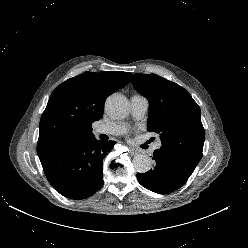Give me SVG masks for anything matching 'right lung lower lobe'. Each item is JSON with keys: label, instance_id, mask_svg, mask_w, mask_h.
<instances>
[{"label": "right lung lower lobe", "instance_id": "obj_1", "mask_svg": "<svg viewBox=\"0 0 248 248\" xmlns=\"http://www.w3.org/2000/svg\"><path fill=\"white\" fill-rule=\"evenodd\" d=\"M115 142L93 134L71 137L40 158L44 173L61 195L85 199L103 185V158Z\"/></svg>", "mask_w": 248, "mask_h": 248}]
</instances>
